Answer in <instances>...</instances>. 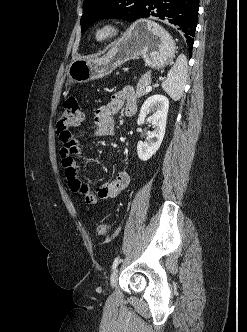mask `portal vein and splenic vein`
Segmentation results:
<instances>
[{
    "label": "portal vein and splenic vein",
    "mask_w": 247,
    "mask_h": 332,
    "mask_svg": "<svg viewBox=\"0 0 247 332\" xmlns=\"http://www.w3.org/2000/svg\"><path fill=\"white\" fill-rule=\"evenodd\" d=\"M152 90V86L148 85L146 88V92H150Z\"/></svg>",
    "instance_id": "obj_1"
}]
</instances>
